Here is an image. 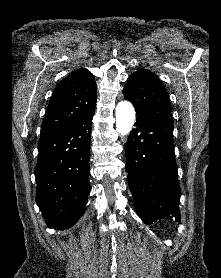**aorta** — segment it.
Returning a JSON list of instances; mask_svg holds the SVG:
<instances>
[{
    "mask_svg": "<svg viewBox=\"0 0 221 278\" xmlns=\"http://www.w3.org/2000/svg\"><path fill=\"white\" fill-rule=\"evenodd\" d=\"M135 122V110L128 101H122L116 106V130L121 135H127Z\"/></svg>",
    "mask_w": 221,
    "mask_h": 278,
    "instance_id": "obj_1",
    "label": "aorta"
}]
</instances>
